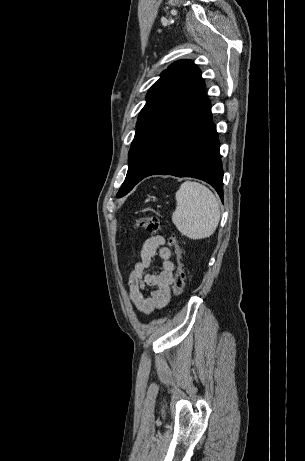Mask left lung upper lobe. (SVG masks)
<instances>
[{
	"label": "left lung upper lobe",
	"mask_w": 305,
	"mask_h": 461,
	"mask_svg": "<svg viewBox=\"0 0 305 461\" xmlns=\"http://www.w3.org/2000/svg\"><path fill=\"white\" fill-rule=\"evenodd\" d=\"M201 81V71L197 65L190 60H179L164 70L151 86L146 96L147 102L138 117L128 154V172L117 193L118 198L126 195L147 172L155 134Z\"/></svg>",
	"instance_id": "left-lung-upper-lobe-1"
}]
</instances>
